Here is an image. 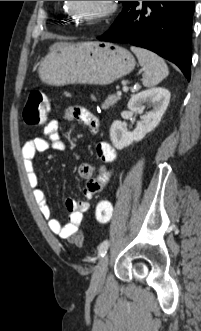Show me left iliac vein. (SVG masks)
I'll list each match as a JSON object with an SVG mask.
<instances>
[{
  "instance_id": "4c4485c4",
  "label": "left iliac vein",
  "mask_w": 201,
  "mask_h": 331,
  "mask_svg": "<svg viewBox=\"0 0 201 331\" xmlns=\"http://www.w3.org/2000/svg\"><path fill=\"white\" fill-rule=\"evenodd\" d=\"M108 255L105 254L99 261L98 266L91 279V289H100L105 281L108 270Z\"/></svg>"
}]
</instances>
